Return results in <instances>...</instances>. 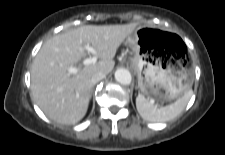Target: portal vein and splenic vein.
<instances>
[{"instance_id":"portal-vein-and-splenic-vein-1","label":"portal vein and splenic vein","mask_w":225,"mask_h":155,"mask_svg":"<svg viewBox=\"0 0 225 155\" xmlns=\"http://www.w3.org/2000/svg\"><path fill=\"white\" fill-rule=\"evenodd\" d=\"M85 49H86L89 53H91V54L93 55V57L84 59L83 64H84V65H89V64H92V63H96L97 57H98V56H97V51H96L93 47H91L90 45H86V46H85ZM67 71H68L69 73H71V74H75V73L78 71V69L75 68V67L70 66V67H68Z\"/></svg>"}]
</instances>
